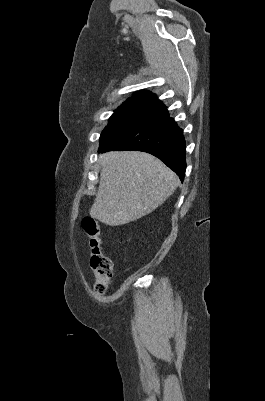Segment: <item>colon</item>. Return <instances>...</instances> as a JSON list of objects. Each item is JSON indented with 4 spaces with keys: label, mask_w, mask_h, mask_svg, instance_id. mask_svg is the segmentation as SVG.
I'll return each instance as SVG.
<instances>
[{
    "label": "colon",
    "mask_w": 265,
    "mask_h": 401,
    "mask_svg": "<svg viewBox=\"0 0 265 401\" xmlns=\"http://www.w3.org/2000/svg\"><path fill=\"white\" fill-rule=\"evenodd\" d=\"M82 228L90 239V267L95 276L94 291L101 295L106 291L113 275L112 261L102 251L98 221L92 217H85L82 220Z\"/></svg>",
    "instance_id": "5ec220e1"
}]
</instances>
